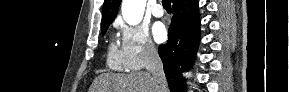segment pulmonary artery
<instances>
[{
    "mask_svg": "<svg viewBox=\"0 0 289 92\" xmlns=\"http://www.w3.org/2000/svg\"><path fill=\"white\" fill-rule=\"evenodd\" d=\"M151 12H152L153 16H155V17H162L164 14V11L159 4H155L152 7Z\"/></svg>",
    "mask_w": 289,
    "mask_h": 92,
    "instance_id": "e3ab8cb5",
    "label": "pulmonary artery"
}]
</instances>
